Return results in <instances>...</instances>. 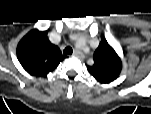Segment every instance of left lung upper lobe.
<instances>
[{"instance_id":"left-lung-upper-lobe-1","label":"left lung upper lobe","mask_w":151,"mask_h":114,"mask_svg":"<svg viewBox=\"0 0 151 114\" xmlns=\"http://www.w3.org/2000/svg\"><path fill=\"white\" fill-rule=\"evenodd\" d=\"M87 68L98 81L109 83L119 77L122 62L114 49L104 39L94 53V64Z\"/></svg>"}]
</instances>
